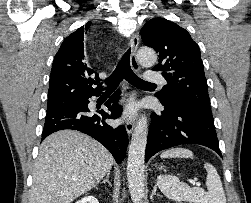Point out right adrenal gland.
<instances>
[{"instance_id": "2a0ac1e0", "label": "right adrenal gland", "mask_w": 251, "mask_h": 203, "mask_svg": "<svg viewBox=\"0 0 251 203\" xmlns=\"http://www.w3.org/2000/svg\"><path fill=\"white\" fill-rule=\"evenodd\" d=\"M109 175H110V173H108L107 175H106V178L102 181V183H108L110 186H111V183H110V181H109Z\"/></svg>"}]
</instances>
